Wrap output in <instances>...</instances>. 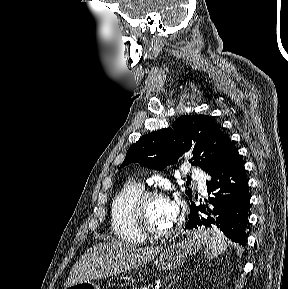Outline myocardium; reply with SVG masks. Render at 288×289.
Masks as SVG:
<instances>
[{"mask_svg":"<svg viewBox=\"0 0 288 289\" xmlns=\"http://www.w3.org/2000/svg\"><path fill=\"white\" fill-rule=\"evenodd\" d=\"M156 199H165V196L156 191L142 190L134 198L129 208V218L133 229L145 238H162L173 231L172 228L157 231L148 225L144 215L145 206L149 201Z\"/></svg>","mask_w":288,"mask_h":289,"instance_id":"myocardium-1","label":"myocardium"}]
</instances>
